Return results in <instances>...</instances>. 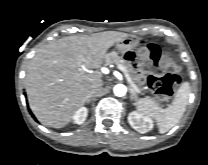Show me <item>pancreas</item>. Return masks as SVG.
Segmentation results:
<instances>
[{"instance_id": "cf45deb5", "label": "pancreas", "mask_w": 208, "mask_h": 165, "mask_svg": "<svg viewBox=\"0 0 208 165\" xmlns=\"http://www.w3.org/2000/svg\"><path fill=\"white\" fill-rule=\"evenodd\" d=\"M105 63L106 65H110V64H121L123 65L128 74L132 77L134 76L135 80H136V77H135V72L133 70V68L131 67L130 64H128L122 57H120L116 52H111V53H108L105 57ZM134 87L140 92V89L135 85L133 84ZM149 100V99H148ZM153 101V100H151ZM154 102V101H153Z\"/></svg>"}]
</instances>
